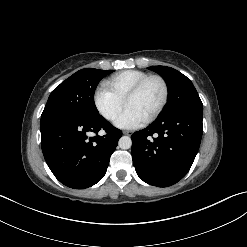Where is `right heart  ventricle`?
Returning <instances> with one entry per match:
<instances>
[{
  "instance_id": "e07e8e85",
  "label": "right heart ventricle",
  "mask_w": 247,
  "mask_h": 247,
  "mask_svg": "<svg viewBox=\"0 0 247 247\" xmlns=\"http://www.w3.org/2000/svg\"><path fill=\"white\" fill-rule=\"evenodd\" d=\"M148 75V73L140 70H126L111 76L105 81V85L124 100L129 90Z\"/></svg>"
}]
</instances>
